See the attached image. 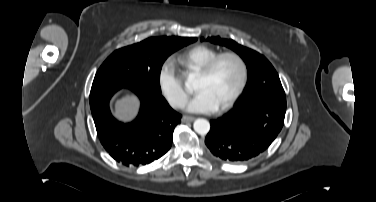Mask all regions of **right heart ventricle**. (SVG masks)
<instances>
[{"mask_svg": "<svg viewBox=\"0 0 376 202\" xmlns=\"http://www.w3.org/2000/svg\"><path fill=\"white\" fill-rule=\"evenodd\" d=\"M219 51L207 45H197L176 54L173 60L186 73L198 72Z\"/></svg>", "mask_w": 376, "mask_h": 202, "instance_id": "obj_1", "label": "right heart ventricle"}]
</instances>
